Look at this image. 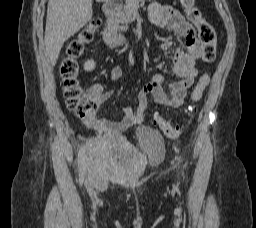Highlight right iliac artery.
Returning <instances> with one entry per match:
<instances>
[{"instance_id": "1", "label": "right iliac artery", "mask_w": 256, "mask_h": 228, "mask_svg": "<svg viewBox=\"0 0 256 228\" xmlns=\"http://www.w3.org/2000/svg\"><path fill=\"white\" fill-rule=\"evenodd\" d=\"M84 159H85V149L84 147L80 149L78 154V168L80 172V178L83 179L84 177Z\"/></svg>"}]
</instances>
